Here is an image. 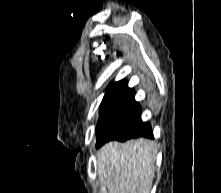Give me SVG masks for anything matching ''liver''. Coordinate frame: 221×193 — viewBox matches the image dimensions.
Masks as SVG:
<instances>
[{"label": "liver", "mask_w": 221, "mask_h": 193, "mask_svg": "<svg viewBox=\"0 0 221 193\" xmlns=\"http://www.w3.org/2000/svg\"><path fill=\"white\" fill-rule=\"evenodd\" d=\"M156 144L145 138L109 142L97 153L98 174L108 193H150Z\"/></svg>", "instance_id": "obj_1"}]
</instances>
